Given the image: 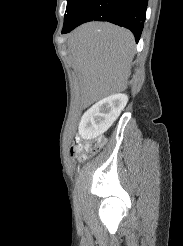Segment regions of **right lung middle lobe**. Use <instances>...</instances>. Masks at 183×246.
I'll return each mask as SVG.
<instances>
[{
	"label": "right lung middle lobe",
	"mask_w": 183,
	"mask_h": 246,
	"mask_svg": "<svg viewBox=\"0 0 183 246\" xmlns=\"http://www.w3.org/2000/svg\"><path fill=\"white\" fill-rule=\"evenodd\" d=\"M80 0H67L66 14L64 16V21L70 17Z\"/></svg>",
	"instance_id": "1"
}]
</instances>
